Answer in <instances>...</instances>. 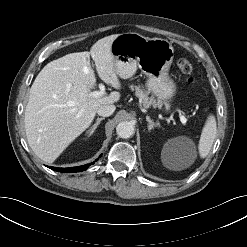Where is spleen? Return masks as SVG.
<instances>
[{"label":"spleen","mask_w":247,"mask_h":247,"mask_svg":"<svg viewBox=\"0 0 247 247\" xmlns=\"http://www.w3.org/2000/svg\"><path fill=\"white\" fill-rule=\"evenodd\" d=\"M217 133V123L214 115H209L202 129L198 144V151L201 158H205L213 145Z\"/></svg>","instance_id":"1"}]
</instances>
